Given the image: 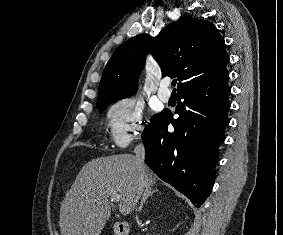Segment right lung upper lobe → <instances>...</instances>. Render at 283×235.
<instances>
[{
	"mask_svg": "<svg viewBox=\"0 0 283 235\" xmlns=\"http://www.w3.org/2000/svg\"><path fill=\"white\" fill-rule=\"evenodd\" d=\"M151 52L162 76L175 75L182 87L226 71L229 57L216 27L183 15L156 37L140 34L121 44L105 66L97 103L117 101L136 92L146 55Z\"/></svg>",
	"mask_w": 283,
	"mask_h": 235,
	"instance_id": "right-lung-upper-lobe-1",
	"label": "right lung upper lobe"
}]
</instances>
